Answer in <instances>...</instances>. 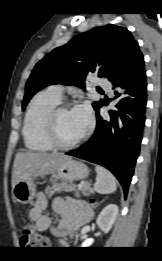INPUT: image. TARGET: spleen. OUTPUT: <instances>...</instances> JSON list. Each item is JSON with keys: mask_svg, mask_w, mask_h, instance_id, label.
Returning <instances> with one entry per match:
<instances>
[{"mask_svg": "<svg viewBox=\"0 0 162 261\" xmlns=\"http://www.w3.org/2000/svg\"><path fill=\"white\" fill-rule=\"evenodd\" d=\"M97 176L94 184V190L99 194H110L116 191L117 183L114 175L107 169L96 166Z\"/></svg>", "mask_w": 162, "mask_h": 261, "instance_id": "spleen-1", "label": "spleen"}]
</instances>
